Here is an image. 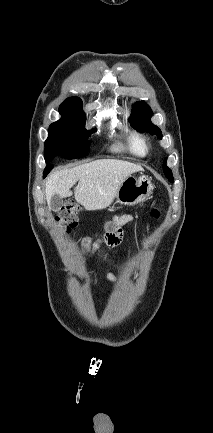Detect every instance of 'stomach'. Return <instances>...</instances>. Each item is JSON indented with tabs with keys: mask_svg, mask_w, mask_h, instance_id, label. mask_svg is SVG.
<instances>
[{
	"mask_svg": "<svg viewBox=\"0 0 213 433\" xmlns=\"http://www.w3.org/2000/svg\"><path fill=\"white\" fill-rule=\"evenodd\" d=\"M153 189L154 186L148 177L129 176L119 186L115 198L120 204L133 206L148 199Z\"/></svg>",
	"mask_w": 213,
	"mask_h": 433,
	"instance_id": "obj_1",
	"label": "stomach"
}]
</instances>
